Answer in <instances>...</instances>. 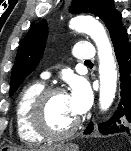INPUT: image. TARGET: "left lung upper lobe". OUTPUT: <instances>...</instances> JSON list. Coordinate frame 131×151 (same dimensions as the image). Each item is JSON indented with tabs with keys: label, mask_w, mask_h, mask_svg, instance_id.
Wrapping results in <instances>:
<instances>
[{
	"label": "left lung upper lobe",
	"mask_w": 131,
	"mask_h": 151,
	"mask_svg": "<svg viewBox=\"0 0 131 151\" xmlns=\"http://www.w3.org/2000/svg\"><path fill=\"white\" fill-rule=\"evenodd\" d=\"M71 12L97 15L108 28L112 41L127 33L121 24V13L114 7V0H73ZM47 33L46 20H41L24 37L11 74L10 96L16 92L24 79L37 67L43 56Z\"/></svg>",
	"instance_id": "1"
}]
</instances>
